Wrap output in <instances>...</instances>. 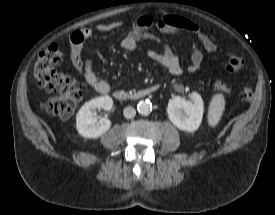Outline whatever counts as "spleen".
I'll return each mask as SVG.
<instances>
[{
    "label": "spleen",
    "mask_w": 275,
    "mask_h": 215,
    "mask_svg": "<svg viewBox=\"0 0 275 215\" xmlns=\"http://www.w3.org/2000/svg\"><path fill=\"white\" fill-rule=\"evenodd\" d=\"M224 105L225 101L223 95L217 94L213 97L208 116L210 125L215 126L218 123L224 110Z\"/></svg>",
    "instance_id": "1"
}]
</instances>
